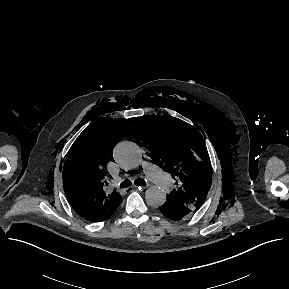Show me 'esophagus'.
<instances>
[{"label": "esophagus", "mask_w": 289, "mask_h": 289, "mask_svg": "<svg viewBox=\"0 0 289 289\" xmlns=\"http://www.w3.org/2000/svg\"><path fill=\"white\" fill-rule=\"evenodd\" d=\"M133 188H138L139 190H145L147 189V186H133Z\"/></svg>", "instance_id": "34e87169"}]
</instances>
